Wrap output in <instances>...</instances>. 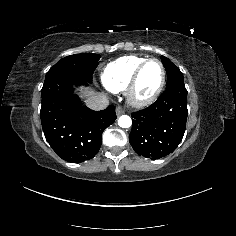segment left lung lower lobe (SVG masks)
<instances>
[{
	"label": "left lung lower lobe",
	"mask_w": 236,
	"mask_h": 236,
	"mask_svg": "<svg viewBox=\"0 0 236 236\" xmlns=\"http://www.w3.org/2000/svg\"><path fill=\"white\" fill-rule=\"evenodd\" d=\"M187 115L185 85L168 87L151 106L131 114V146L138 155L153 160L172 153L183 138Z\"/></svg>",
	"instance_id": "obj_1"
}]
</instances>
